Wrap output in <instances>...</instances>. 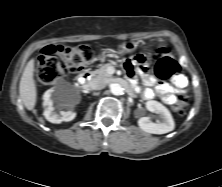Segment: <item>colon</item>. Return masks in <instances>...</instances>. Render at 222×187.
Here are the masks:
<instances>
[{"instance_id": "colon-1", "label": "colon", "mask_w": 222, "mask_h": 187, "mask_svg": "<svg viewBox=\"0 0 222 187\" xmlns=\"http://www.w3.org/2000/svg\"><path fill=\"white\" fill-rule=\"evenodd\" d=\"M90 58V52L83 48L49 46L44 49L38 60V82L48 86L69 74H77L85 69ZM139 65L143 69H148L145 59L140 60ZM179 68L178 62L167 54L165 48L158 50L154 65V73L158 78L169 79L179 71ZM188 103L189 97L181 96L173 108L177 113L183 114Z\"/></svg>"}]
</instances>
